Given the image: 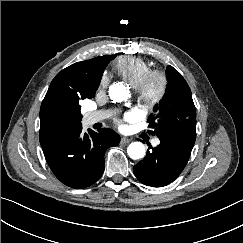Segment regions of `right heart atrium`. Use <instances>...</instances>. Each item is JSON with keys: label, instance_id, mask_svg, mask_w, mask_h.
<instances>
[{"label": "right heart atrium", "instance_id": "obj_1", "mask_svg": "<svg viewBox=\"0 0 243 243\" xmlns=\"http://www.w3.org/2000/svg\"><path fill=\"white\" fill-rule=\"evenodd\" d=\"M110 82V78L107 73H103L99 80V90L107 89Z\"/></svg>", "mask_w": 243, "mask_h": 243}]
</instances>
